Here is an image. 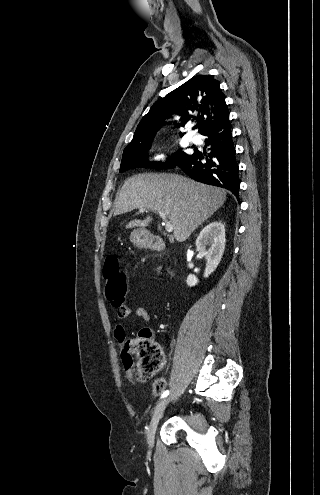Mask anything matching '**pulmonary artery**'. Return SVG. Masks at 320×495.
I'll use <instances>...</instances> for the list:
<instances>
[{
    "instance_id": "1",
    "label": "pulmonary artery",
    "mask_w": 320,
    "mask_h": 495,
    "mask_svg": "<svg viewBox=\"0 0 320 495\" xmlns=\"http://www.w3.org/2000/svg\"><path fill=\"white\" fill-rule=\"evenodd\" d=\"M190 140L193 142V143H199L200 142V137L198 136H193L190 138Z\"/></svg>"
}]
</instances>
